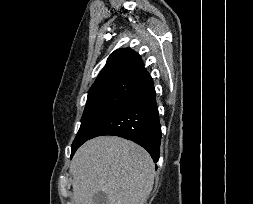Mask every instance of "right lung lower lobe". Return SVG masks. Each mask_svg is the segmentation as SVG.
<instances>
[{"mask_svg":"<svg viewBox=\"0 0 253 204\" xmlns=\"http://www.w3.org/2000/svg\"><path fill=\"white\" fill-rule=\"evenodd\" d=\"M102 135H114L131 140L145 148L154 162L158 161L161 125L156 92L150 75L139 82L137 87L94 131L90 139Z\"/></svg>","mask_w":253,"mask_h":204,"instance_id":"right-lung-lower-lobe-1","label":"right lung lower lobe"}]
</instances>
